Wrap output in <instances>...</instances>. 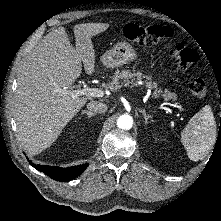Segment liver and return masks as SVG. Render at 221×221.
Instances as JSON below:
<instances>
[{
	"label": "liver",
	"mask_w": 221,
	"mask_h": 221,
	"mask_svg": "<svg viewBox=\"0 0 221 221\" xmlns=\"http://www.w3.org/2000/svg\"><path fill=\"white\" fill-rule=\"evenodd\" d=\"M109 28L108 23L74 25L75 48L64 27L48 33L21 66L14 97L17 131L26 151L35 155L50 146L88 98H72V84L82 65L88 75L95 71L92 37Z\"/></svg>",
	"instance_id": "liver-1"
}]
</instances>
